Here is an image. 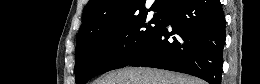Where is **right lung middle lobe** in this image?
I'll return each instance as SVG.
<instances>
[{"label": "right lung middle lobe", "instance_id": "1", "mask_svg": "<svg viewBox=\"0 0 260 84\" xmlns=\"http://www.w3.org/2000/svg\"><path fill=\"white\" fill-rule=\"evenodd\" d=\"M163 25L164 12L149 20L147 11L94 25L90 33L76 42V84L129 65L148 49Z\"/></svg>", "mask_w": 260, "mask_h": 84}]
</instances>
